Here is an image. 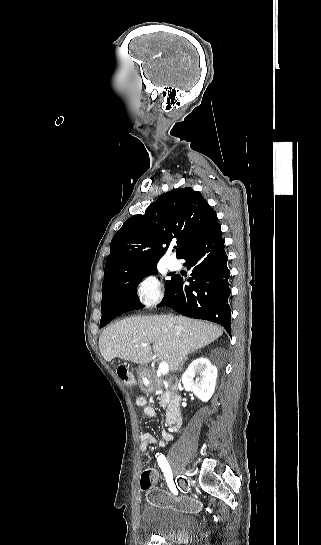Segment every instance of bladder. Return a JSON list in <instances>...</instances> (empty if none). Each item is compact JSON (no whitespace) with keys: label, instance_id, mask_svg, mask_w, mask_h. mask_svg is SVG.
<instances>
[{"label":"bladder","instance_id":"obj_1","mask_svg":"<svg viewBox=\"0 0 321 545\" xmlns=\"http://www.w3.org/2000/svg\"><path fill=\"white\" fill-rule=\"evenodd\" d=\"M140 524L144 530L172 544L189 543L198 528V522L191 513L153 504L143 506Z\"/></svg>","mask_w":321,"mask_h":545}]
</instances>
